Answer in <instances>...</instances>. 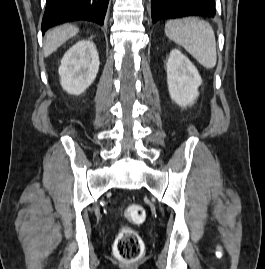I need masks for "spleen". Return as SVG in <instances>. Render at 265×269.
Masks as SVG:
<instances>
[{"mask_svg": "<svg viewBox=\"0 0 265 269\" xmlns=\"http://www.w3.org/2000/svg\"><path fill=\"white\" fill-rule=\"evenodd\" d=\"M166 36L186 49L202 66L215 67L216 40L211 25L196 17L170 20L165 24Z\"/></svg>", "mask_w": 265, "mask_h": 269, "instance_id": "3e777b00", "label": "spleen"}]
</instances>
